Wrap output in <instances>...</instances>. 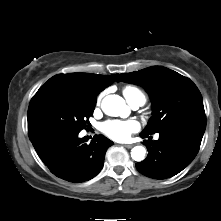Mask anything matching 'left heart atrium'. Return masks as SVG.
Segmentation results:
<instances>
[{
  "label": "left heart atrium",
  "instance_id": "obj_1",
  "mask_svg": "<svg viewBox=\"0 0 221 221\" xmlns=\"http://www.w3.org/2000/svg\"><path fill=\"white\" fill-rule=\"evenodd\" d=\"M101 131L116 141H125L139 129L135 120H109L101 124Z\"/></svg>",
  "mask_w": 221,
  "mask_h": 221
}]
</instances>
